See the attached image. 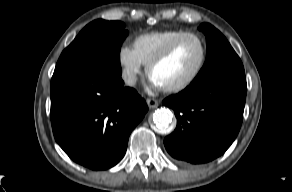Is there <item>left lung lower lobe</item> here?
I'll use <instances>...</instances> for the list:
<instances>
[{
  "mask_svg": "<svg viewBox=\"0 0 292 192\" xmlns=\"http://www.w3.org/2000/svg\"><path fill=\"white\" fill-rule=\"evenodd\" d=\"M247 84L245 76L227 75L191 83L163 104L177 117L175 131L164 139L168 153L192 164L222 155L240 130Z\"/></svg>",
  "mask_w": 292,
  "mask_h": 192,
  "instance_id": "0a47b994",
  "label": "left lung lower lobe"
}]
</instances>
